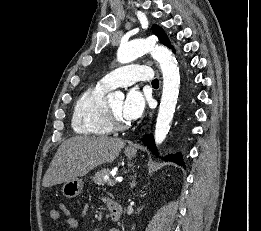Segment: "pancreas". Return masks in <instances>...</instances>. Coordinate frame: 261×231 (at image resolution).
I'll return each instance as SVG.
<instances>
[{"label":"pancreas","mask_w":261,"mask_h":231,"mask_svg":"<svg viewBox=\"0 0 261 231\" xmlns=\"http://www.w3.org/2000/svg\"><path fill=\"white\" fill-rule=\"evenodd\" d=\"M111 173L110 168H103L96 172V174L92 177V180L98 185H104L108 183V180L104 179L105 175H109Z\"/></svg>","instance_id":"pancreas-1"}]
</instances>
